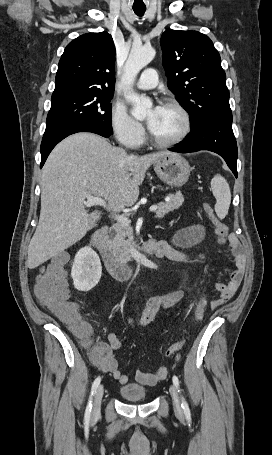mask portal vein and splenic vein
Returning <instances> with one entry per match:
<instances>
[{"label":"portal vein and splenic vein","mask_w":272,"mask_h":455,"mask_svg":"<svg viewBox=\"0 0 272 455\" xmlns=\"http://www.w3.org/2000/svg\"><path fill=\"white\" fill-rule=\"evenodd\" d=\"M86 199H87V201H85V206L86 207H91V206H94V205H98V206H102V207L106 208V206H107L105 200L100 198V197L92 196L90 194H87L86 195ZM156 210H157V206L156 205H153V206L150 207V211L151 212H154ZM114 217H115V219L118 222H120L123 225H129L130 224V220L128 218H126L125 216H123V215L114 214Z\"/></svg>","instance_id":"obj_1"}]
</instances>
